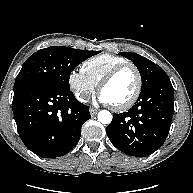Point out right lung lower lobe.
I'll use <instances>...</instances> for the list:
<instances>
[{"label":"right lung lower lobe","instance_id":"98d812e1","mask_svg":"<svg viewBox=\"0 0 193 193\" xmlns=\"http://www.w3.org/2000/svg\"><path fill=\"white\" fill-rule=\"evenodd\" d=\"M12 108L23 143L43 158L70 152L80 139L82 125L91 118L89 107L70 90L46 83L15 89Z\"/></svg>","mask_w":193,"mask_h":193}]
</instances>
